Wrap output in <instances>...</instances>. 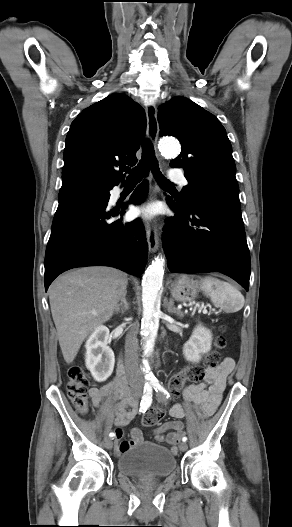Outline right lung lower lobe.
<instances>
[{
    "instance_id": "obj_1",
    "label": "right lung lower lobe",
    "mask_w": 292,
    "mask_h": 527,
    "mask_svg": "<svg viewBox=\"0 0 292 527\" xmlns=\"http://www.w3.org/2000/svg\"><path fill=\"white\" fill-rule=\"evenodd\" d=\"M148 187L146 181L141 183L129 202H143ZM109 190H60L45 254L46 291L59 274L75 267L112 266L142 274L148 253L144 227L138 219L122 223L128 205L109 208ZM118 215L121 219H114Z\"/></svg>"
}]
</instances>
